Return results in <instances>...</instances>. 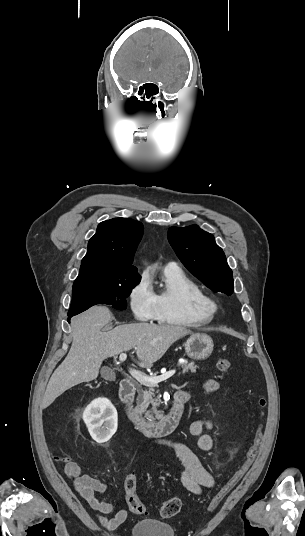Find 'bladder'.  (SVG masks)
Returning a JSON list of instances; mask_svg holds the SVG:
<instances>
[{"mask_svg":"<svg viewBox=\"0 0 305 536\" xmlns=\"http://www.w3.org/2000/svg\"><path fill=\"white\" fill-rule=\"evenodd\" d=\"M155 534L175 536V529L171 522L156 517L143 518L131 528V536H152Z\"/></svg>","mask_w":305,"mask_h":536,"instance_id":"obj_1","label":"bladder"}]
</instances>
